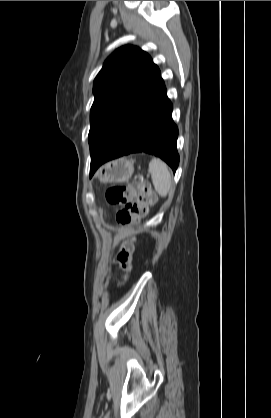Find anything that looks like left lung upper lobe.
<instances>
[{
	"instance_id": "1",
	"label": "left lung upper lobe",
	"mask_w": 271,
	"mask_h": 418,
	"mask_svg": "<svg viewBox=\"0 0 271 418\" xmlns=\"http://www.w3.org/2000/svg\"><path fill=\"white\" fill-rule=\"evenodd\" d=\"M159 77V68L138 47L124 46L108 57L93 84L88 135L91 159Z\"/></svg>"
}]
</instances>
